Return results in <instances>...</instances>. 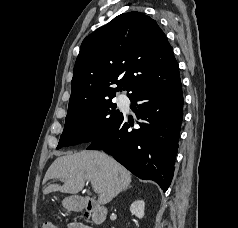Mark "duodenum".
<instances>
[{
    "mask_svg": "<svg viewBox=\"0 0 238 228\" xmlns=\"http://www.w3.org/2000/svg\"><path fill=\"white\" fill-rule=\"evenodd\" d=\"M75 206L90 212L92 214V219L96 224H102L106 219V208L91 198L80 199Z\"/></svg>",
    "mask_w": 238,
    "mask_h": 228,
    "instance_id": "410a0bca",
    "label": "duodenum"
}]
</instances>
